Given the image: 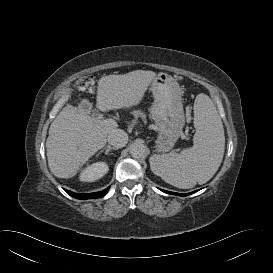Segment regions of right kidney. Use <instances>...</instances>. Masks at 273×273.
<instances>
[{
	"label": "right kidney",
	"instance_id": "1",
	"mask_svg": "<svg viewBox=\"0 0 273 273\" xmlns=\"http://www.w3.org/2000/svg\"><path fill=\"white\" fill-rule=\"evenodd\" d=\"M108 170L109 167L105 162H97L82 170L79 179L83 182H94L95 180L103 177Z\"/></svg>",
	"mask_w": 273,
	"mask_h": 273
}]
</instances>
